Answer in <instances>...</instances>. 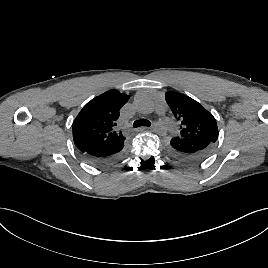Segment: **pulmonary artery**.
Returning a JSON list of instances; mask_svg holds the SVG:
<instances>
[{
	"instance_id": "pulmonary-artery-1",
	"label": "pulmonary artery",
	"mask_w": 268,
	"mask_h": 268,
	"mask_svg": "<svg viewBox=\"0 0 268 268\" xmlns=\"http://www.w3.org/2000/svg\"><path fill=\"white\" fill-rule=\"evenodd\" d=\"M165 122L167 123V125H168V127H169V129H170L171 131H173V130L175 129L174 124L170 121L169 118H166V119H165Z\"/></svg>"
}]
</instances>
